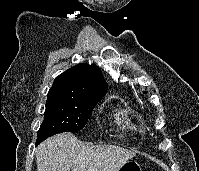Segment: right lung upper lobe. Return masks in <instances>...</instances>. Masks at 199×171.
Returning a JSON list of instances; mask_svg holds the SVG:
<instances>
[{"label": "right lung upper lobe", "mask_w": 199, "mask_h": 171, "mask_svg": "<svg viewBox=\"0 0 199 171\" xmlns=\"http://www.w3.org/2000/svg\"><path fill=\"white\" fill-rule=\"evenodd\" d=\"M107 84L95 64H78L57 76L48 93L63 99L87 101L103 98Z\"/></svg>", "instance_id": "1"}]
</instances>
